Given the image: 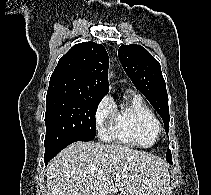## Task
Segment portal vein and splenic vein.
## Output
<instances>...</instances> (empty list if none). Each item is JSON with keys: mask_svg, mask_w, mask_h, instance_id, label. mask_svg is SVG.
<instances>
[{"mask_svg": "<svg viewBox=\"0 0 211 195\" xmlns=\"http://www.w3.org/2000/svg\"><path fill=\"white\" fill-rule=\"evenodd\" d=\"M115 176H116V180H120V175L118 173L115 174Z\"/></svg>", "mask_w": 211, "mask_h": 195, "instance_id": "18ae733b", "label": "portal vein and splenic vein"}]
</instances>
